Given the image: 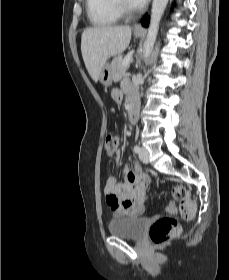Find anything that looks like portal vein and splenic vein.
<instances>
[{
  "label": "portal vein and splenic vein",
  "mask_w": 229,
  "mask_h": 280,
  "mask_svg": "<svg viewBox=\"0 0 229 280\" xmlns=\"http://www.w3.org/2000/svg\"><path fill=\"white\" fill-rule=\"evenodd\" d=\"M133 54H134V51H131V52H129V53L125 56V58H124V60H123V66H124V67H128V66H129V63H130V61L132 60Z\"/></svg>",
  "instance_id": "1"
}]
</instances>
